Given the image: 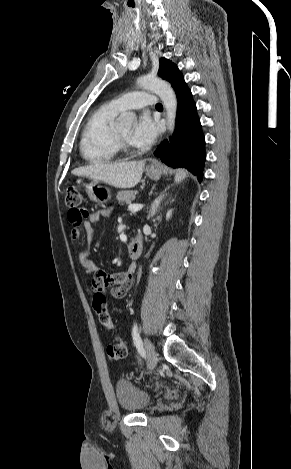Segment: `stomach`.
Returning <instances> with one entry per match:
<instances>
[{"instance_id": "stomach-1", "label": "stomach", "mask_w": 291, "mask_h": 469, "mask_svg": "<svg viewBox=\"0 0 291 469\" xmlns=\"http://www.w3.org/2000/svg\"><path fill=\"white\" fill-rule=\"evenodd\" d=\"M146 174L152 180H158L161 177L162 169L160 167H149ZM86 192L89 199L98 204L107 203L111 199V192L107 187L102 186L98 180H93L86 185Z\"/></svg>"}]
</instances>
